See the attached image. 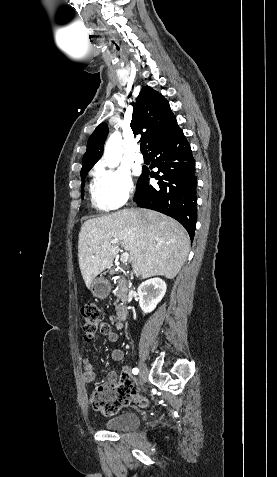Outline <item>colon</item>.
Masks as SVG:
<instances>
[{
    "label": "colon",
    "mask_w": 277,
    "mask_h": 477,
    "mask_svg": "<svg viewBox=\"0 0 277 477\" xmlns=\"http://www.w3.org/2000/svg\"><path fill=\"white\" fill-rule=\"evenodd\" d=\"M83 331L86 339L91 340L100 329L103 318L102 311L94 303H88L81 310ZM137 387L131 380H122L117 383L107 382L95 388L91 405L97 412L104 415L115 414L123 406L128 405L133 399L140 407L147 405V400L137 396Z\"/></svg>",
    "instance_id": "colon-1"
}]
</instances>
